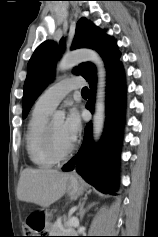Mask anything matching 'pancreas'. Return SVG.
<instances>
[{
	"label": "pancreas",
	"instance_id": "cf45deb5",
	"mask_svg": "<svg viewBox=\"0 0 158 237\" xmlns=\"http://www.w3.org/2000/svg\"><path fill=\"white\" fill-rule=\"evenodd\" d=\"M70 218L63 217L54 223H48L46 229L50 236H64L76 233L72 226H67Z\"/></svg>",
	"mask_w": 158,
	"mask_h": 237
}]
</instances>
